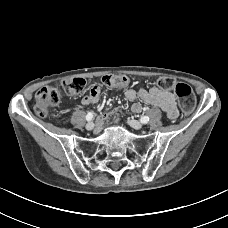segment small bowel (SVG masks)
Here are the masks:
<instances>
[{
	"instance_id": "1",
	"label": "small bowel",
	"mask_w": 228,
	"mask_h": 228,
	"mask_svg": "<svg viewBox=\"0 0 228 228\" xmlns=\"http://www.w3.org/2000/svg\"><path fill=\"white\" fill-rule=\"evenodd\" d=\"M100 97V88L98 86H93L90 93L82 99V104L84 106H91L98 102ZM125 97L128 101L134 102L137 98L142 99L146 103L159 107L162 109L166 116L173 120L179 115V111L176 104L175 96L168 90L161 89L158 87L151 88H140L138 90L129 88L125 91ZM142 107L139 103H133L131 106V111L134 113H139ZM119 109H115L111 112L103 114L99 119L100 124L107 123L110 118L116 114Z\"/></svg>"
}]
</instances>
